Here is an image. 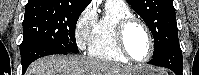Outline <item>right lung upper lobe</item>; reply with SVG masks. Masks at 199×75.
<instances>
[{
	"label": "right lung upper lobe",
	"instance_id": "cb5924a9",
	"mask_svg": "<svg viewBox=\"0 0 199 75\" xmlns=\"http://www.w3.org/2000/svg\"><path fill=\"white\" fill-rule=\"evenodd\" d=\"M91 0H29L26 6L46 7L49 5H63L77 9H85Z\"/></svg>",
	"mask_w": 199,
	"mask_h": 75
}]
</instances>
